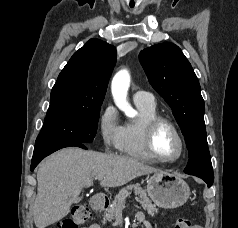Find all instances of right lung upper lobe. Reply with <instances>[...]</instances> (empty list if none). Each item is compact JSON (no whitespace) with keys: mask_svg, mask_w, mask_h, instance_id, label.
Wrapping results in <instances>:
<instances>
[{"mask_svg":"<svg viewBox=\"0 0 238 228\" xmlns=\"http://www.w3.org/2000/svg\"><path fill=\"white\" fill-rule=\"evenodd\" d=\"M115 63L114 46L99 39L89 40L59 74L47 113L101 105Z\"/></svg>","mask_w":238,"mask_h":228,"instance_id":"obj_1","label":"right lung upper lobe"}]
</instances>
